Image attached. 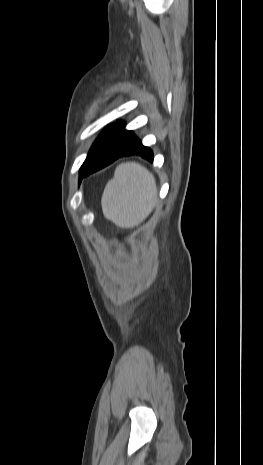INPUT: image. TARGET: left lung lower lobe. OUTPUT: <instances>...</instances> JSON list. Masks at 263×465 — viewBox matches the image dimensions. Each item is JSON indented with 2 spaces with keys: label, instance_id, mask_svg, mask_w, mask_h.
Instances as JSON below:
<instances>
[{
  "label": "left lung lower lobe",
  "instance_id": "left-lung-lower-lobe-1",
  "mask_svg": "<svg viewBox=\"0 0 263 465\" xmlns=\"http://www.w3.org/2000/svg\"><path fill=\"white\" fill-rule=\"evenodd\" d=\"M126 155H139L153 161L152 151L143 146L132 131L125 130L123 125H114L98 139L82 167L81 176H88Z\"/></svg>",
  "mask_w": 263,
  "mask_h": 465
}]
</instances>
